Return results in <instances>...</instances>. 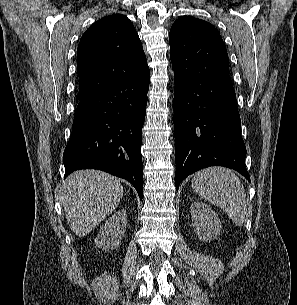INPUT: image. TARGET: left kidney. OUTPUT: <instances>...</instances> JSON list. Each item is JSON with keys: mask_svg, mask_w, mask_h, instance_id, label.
Listing matches in <instances>:
<instances>
[{"mask_svg": "<svg viewBox=\"0 0 297 305\" xmlns=\"http://www.w3.org/2000/svg\"><path fill=\"white\" fill-rule=\"evenodd\" d=\"M192 226L201 240H213L221 229V222L212 208L203 202L191 204Z\"/></svg>", "mask_w": 297, "mask_h": 305, "instance_id": "obj_1", "label": "left kidney"}]
</instances>
